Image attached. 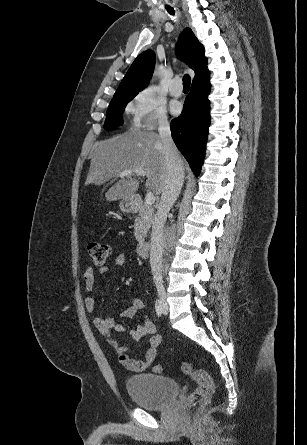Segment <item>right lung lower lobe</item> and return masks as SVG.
Masks as SVG:
<instances>
[{
  "label": "right lung lower lobe",
  "instance_id": "right-lung-lower-lobe-1",
  "mask_svg": "<svg viewBox=\"0 0 307 445\" xmlns=\"http://www.w3.org/2000/svg\"><path fill=\"white\" fill-rule=\"evenodd\" d=\"M209 71L194 78L189 95L185 99L182 114L172 120L173 140L198 176L205 155L208 127L210 125Z\"/></svg>",
  "mask_w": 307,
  "mask_h": 445
}]
</instances>
